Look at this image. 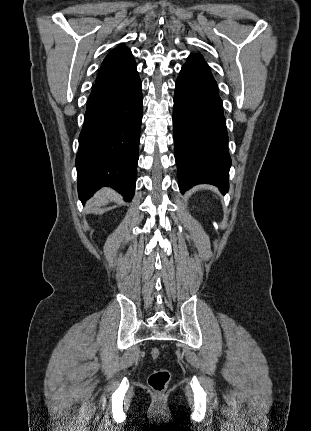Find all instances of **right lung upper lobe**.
Segmentation results:
<instances>
[{"label": "right lung upper lobe", "instance_id": "1", "mask_svg": "<svg viewBox=\"0 0 311 431\" xmlns=\"http://www.w3.org/2000/svg\"><path fill=\"white\" fill-rule=\"evenodd\" d=\"M134 66L135 61L131 51L126 46L119 45L110 51L104 59L96 82L122 75Z\"/></svg>", "mask_w": 311, "mask_h": 431}]
</instances>
